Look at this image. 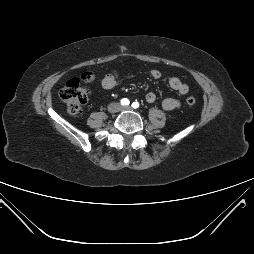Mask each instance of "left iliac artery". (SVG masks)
<instances>
[{"label": "left iliac artery", "mask_w": 254, "mask_h": 254, "mask_svg": "<svg viewBox=\"0 0 254 254\" xmlns=\"http://www.w3.org/2000/svg\"><path fill=\"white\" fill-rule=\"evenodd\" d=\"M132 107L135 108V109L138 108L139 107V103L137 101L133 102L132 103Z\"/></svg>", "instance_id": "1"}]
</instances>
